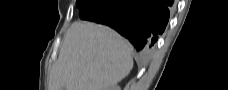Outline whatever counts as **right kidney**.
<instances>
[{"label":"right kidney","instance_id":"obj_1","mask_svg":"<svg viewBox=\"0 0 228 90\" xmlns=\"http://www.w3.org/2000/svg\"><path fill=\"white\" fill-rule=\"evenodd\" d=\"M107 90H121V88L118 85H114V86H112L110 88H107Z\"/></svg>","mask_w":228,"mask_h":90}]
</instances>
